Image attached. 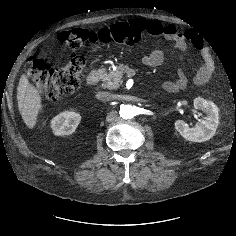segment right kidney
<instances>
[{"label":"right kidney","instance_id":"1","mask_svg":"<svg viewBox=\"0 0 236 236\" xmlns=\"http://www.w3.org/2000/svg\"><path fill=\"white\" fill-rule=\"evenodd\" d=\"M80 120V114L73 111H64L52 119L51 128L55 135H71L79 125Z\"/></svg>","mask_w":236,"mask_h":236}]
</instances>
